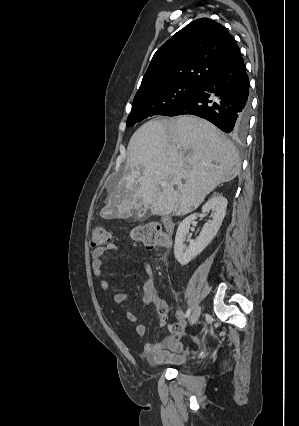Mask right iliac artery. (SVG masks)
<instances>
[{"label":"right iliac artery","instance_id":"obj_1","mask_svg":"<svg viewBox=\"0 0 299 426\" xmlns=\"http://www.w3.org/2000/svg\"><path fill=\"white\" fill-rule=\"evenodd\" d=\"M190 313H191V309L189 308V309L186 311V313H185V317H186V318H187V317H189Z\"/></svg>","mask_w":299,"mask_h":426}]
</instances>
